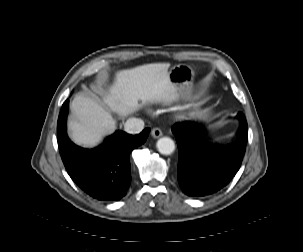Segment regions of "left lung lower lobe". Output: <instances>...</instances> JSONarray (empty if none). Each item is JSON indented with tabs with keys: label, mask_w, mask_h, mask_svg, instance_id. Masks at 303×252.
<instances>
[{
	"label": "left lung lower lobe",
	"mask_w": 303,
	"mask_h": 252,
	"mask_svg": "<svg viewBox=\"0 0 303 252\" xmlns=\"http://www.w3.org/2000/svg\"><path fill=\"white\" fill-rule=\"evenodd\" d=\"M237 139L227 145L207 142L204 127L192 122L176 123L172 132L179 150L177 178L189 196L210 195L226 186L239 170L247 144V121L238 116Z\"/></svg>",
	"instance_id": "1"
}]
</instances>
